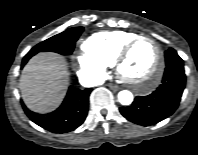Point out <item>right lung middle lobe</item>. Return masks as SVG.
Here are the masks:
<instances>
[{
    "label": "right lung middle lobe",
    "mask_w": 198,
    "mask_h": 155,
    "mask_svg": "<svg viewBox=\"0 0 198 155\" xmlns=\"http://www.w3.org/2000/svg\"><path fill=\"white\" fill-rule=\"evenodd\" d=\"M83 32V27H74L55 35L32 48L24 57L29 59L42 51H52L62 55H70L74 49L75 42Z\"/></svg>",
    "instance_id": "right-lung-middle-lobe-1"
}]
</instances>
